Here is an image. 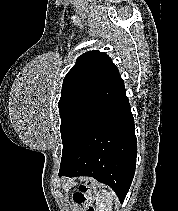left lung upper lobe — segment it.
I'll list each match as a JSON object with an SVG mask.
<instances>
[{"label": "left lung upper lobe", "instance_id": "left-lung-upper-lobe-1", "mask_svg": "<svg viewBox=\"0 0 178 211\" xmlns=\"http://www.w3.org/2000/svg\"><path fill=\"white\" fill-rule=\"evenodd\" d=\"M122 81L117 67L104 52L78 57L64 78L58 104L64 162L93 128Z\"/></svg>", "mask_w": 178, "mask_h": 211}]
</instances>
